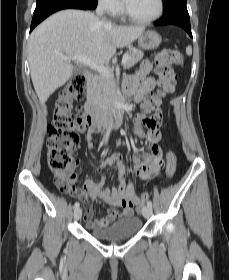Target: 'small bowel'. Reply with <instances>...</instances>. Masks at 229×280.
Segmentation results:
<instances>
[{"instance_id": "obj_1", "label": "small bowel", "mask_w": 229, "mask_h": 280, "mask_svg": "<svg viewBox=\"0 0 229 280\" xmlns=\"http://www.w3.org/2000/svg\"><path fill=\"white\" fill-rule=\"evenodd\" d=\"M151 70V65L149 63H144L141 65L140 69L132 74H130L124 85V93L132 100H138L144 92L151 90L156 84L160 89L153 96V103L143 105V111L141 115L145 117H150V112L153 109H157L162 99L171 93L174 89L175 79L172 83V90L168 87L162 85L159 81L157 82L148 73ZM154 115H158L162 118L161 112L157 111ZM97 133V130L92 129L87 132L86 139L88 141L89 149L93 148V137ZM161 137V132L159 127L149 129L146 138L149 146L153 147L156 145ZM139 156L134 158L132 173L137 175L142 180H148L152 177V172L149 169V158L147 156L146 148L139 147L137 149ZM115 166L118 169L119 184L114 189H109L104 187L103 182L105 181V175L102 176V181L96 183L91 179H84L81 181V187L75 188L69 191L70 194L80 200L83 203L89 204L91 201L100 199L111 207H120L122 209V216H133L134 209L132 206L126 204V201L136 198L135 187L133 183L126 184L127 172L123 165L121 164V156L119 154H112L106 159H104L100 164L96 165V169L103 171L104 169ZM75 166L72 165L68 169L69 177L72 182L79 180V175L74 173ZM94 212L92 209H88L84 213V219L86 221V226L89 229L105 228L114 222L118 217L119 213L113 209H108L107 215L104 218L93 220Z\"/></svg>"}]
</instances>
